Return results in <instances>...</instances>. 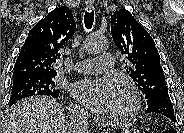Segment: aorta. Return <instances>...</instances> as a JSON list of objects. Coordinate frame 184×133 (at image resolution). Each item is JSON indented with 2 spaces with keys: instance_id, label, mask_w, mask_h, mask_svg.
Here are the masks:
<instances>
[{
  "instance_id": "aorta-1",
  "label": "aorta",
  "mask_w": 184,
  "mask_h": 133,
  "mask_svg": "<svg viewBox=\"0 0 184 133\" xmlns=\"http://www.w3.org/2000/svg\"><path fill=\"white\" fill-rule=\"evenodd\" d=\"M108 48L107 39L98 34L89 35L82 44V49L87 54H99L106 51Z\"/></svg>"
}]
</instances>
